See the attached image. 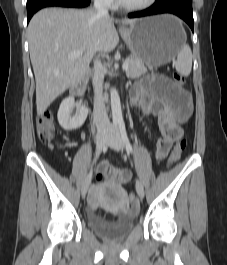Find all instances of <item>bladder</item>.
<instances>
[{
    "instance_id": "bladder-1",
    "label": "bladder",
    "mask_w": 227,
    "mask_h": 265,
    "mask_svg": "<svg viewBox=\"0 0 227 265\" xmlns=\"http://www.w3.org/2000/svg\"><path fill=\"white\" fill-rule=\"evenodd\" d=\"M134 220V216L108 219L90 214L88 216V226L99 237L109 241H118L124 239L132 231Z\"/></svg>"
}]
</instances>
